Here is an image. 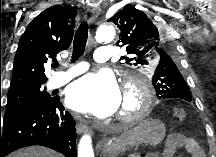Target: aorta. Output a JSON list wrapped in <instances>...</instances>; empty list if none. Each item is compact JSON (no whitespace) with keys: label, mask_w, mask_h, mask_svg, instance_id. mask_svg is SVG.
<instances>
[{"label":"aorta","mask_w":216,"mask_h":157,"mask_svg":"<svg viewBox=\"0 0 216 157\" xmlns=\"http://www.w3.org/2000/svg\"><path fill=\"white\" fill-rule=\"evenodd\" d=\"M115 37V27L112 24L101 25L96 32L98 42H110ZM118 151L106 153V156H115ZM78 157H94L92 140L89 135H84L79 143Z\"/></svg>","instance_id":"aorta-1"}]
</instances>
